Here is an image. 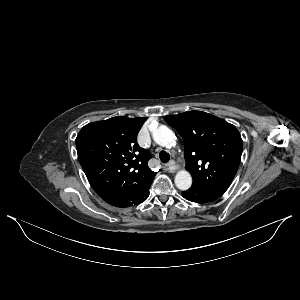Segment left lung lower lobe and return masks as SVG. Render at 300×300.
<instances>
[{
  "label": "left lung lower lobe",
  "instance_id": "1",
  "mask_svg": "<svg viewBox=\"0 0 300 300\" xmlns=\"http://www.w3.org/2000/svg\"><path fill=\"white\" fill-rule=\"evenodd\" d=\"M182 196L192 202L207 203L218 199L220 196H222V193L203 191L191 187L187 191H183Z\"/></svg>",
  "mask_w": 300,
  "mask_h": 300
}]
</instances>
